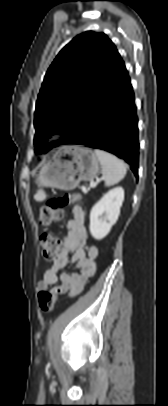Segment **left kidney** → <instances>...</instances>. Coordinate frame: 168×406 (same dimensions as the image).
Wrapping results in <instances>:
<instances>
[{
	"mask_svg": "<svg viewBox=\"0 0 168 406\" xmlns=\"http://www.w3.org/2000/svg\"><path fill=\"white\" fill-rule=\"evenodd\" d=\"M123 200V188L116 187L104 194L92 207L89 230L95 239L101 240L108 235L118 220Z\"/></svg>",
	"mask_w": 168,
	"mask_h": 406,
	"instance_id": "left-kidney-1",
	"label": "left kidney"
}]
</instances>
